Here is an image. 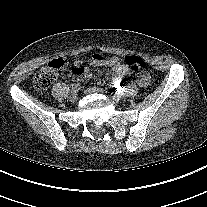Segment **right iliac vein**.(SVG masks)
Wrapping results in <instances>:
<instances>
[{
	"label": "right iliac vein",
	"instance_id": "obj_1",
	"mask_svg": "<svg viewBox=\"0 0 207 207\" xmlns=\"http://www.w3.org/2000/svg\"><path fill=\"white\" fill-rule=\"evenodd\" d=\"M78 94L77 92H72L71 95L69 96V100L71 102H75L77 100Z\"/></svg>",
	"mask_w": 207,
	"mask_h": 207
}]
</instances>
